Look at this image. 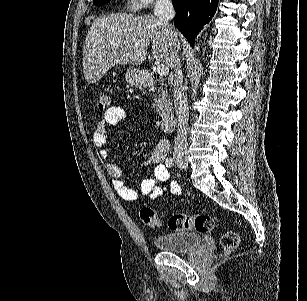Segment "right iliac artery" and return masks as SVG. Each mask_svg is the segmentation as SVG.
Instances as JSON below:
<instances>
[{"label": "right iliac artery", "mask_w": 307, "mask_h": 301, "mask_svg": "<svg viewBox=\"0 0 307 301\" xmlns=\"http://www.w3.org/2000/svg\"><path fill=\"white\" fill-rule=\"evenodd\" d=\"M174 165V160H173V158H167L166 159V166L167 167H172Z\"/></svg>", "instance_id": "1"}]
</instances>
